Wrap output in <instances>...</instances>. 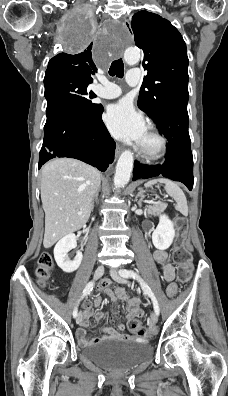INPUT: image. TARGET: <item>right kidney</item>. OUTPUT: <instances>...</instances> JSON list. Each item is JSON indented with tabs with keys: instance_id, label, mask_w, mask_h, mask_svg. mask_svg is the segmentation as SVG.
<instances>
[{
	"instance_id": "ca27d5eb",
	"label": "right kidney",
	"mask_w": 228,
	"mask_h": 396,
	"mask_svg": "<svg viewBox=\"0 0 228 396\" xmlns=\"http://www.w3.org/2000/svg\"><path fill=\"white\" fill-rule=\"evenodd\" d=\"M77 238L75 234H69L63 237L55 245L54 258L57 265L66 273L77 270L82 262V253L78 251L73 259L68 255L69 251L75 248Z\"/></svg>"
}]
</instances>
